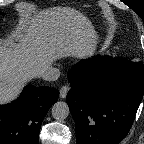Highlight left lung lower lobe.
<instances>
[{
    "label": "left lung lower lobe",
    "mask_w": 144,
    "mask_h": 144,
    "mask_svg": "<svg viewBox=\"0 0 144 144\" xmlns=\"http://www.w3.org/2000/svg\"><path fill=\"white\" fill-rule=\"evenodd\" d=\"M69 82L77 144L120 143L143 97V63L97 55L74 65Z\"/></svg>",
    "instance_id": "left-lung-lower-lobe-1"
}]
</instances>
